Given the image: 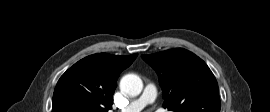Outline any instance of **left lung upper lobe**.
<instances>
[{"label":"left lung upper lobe","instance_id":"5c2ea615","mask_svg":"<svg viewBox=\"0 0 270 112\" xmlns=\"http://www.w3.org/2000/svg\"><path fill=\"white\" fill-rule=\"evenodd\" d=\"M142 58L159 76L164 108L172 112H220L217 81L198 56L177 48Z\"/></svg>","mask_w":270,"mask_h":112}]
</instances>
